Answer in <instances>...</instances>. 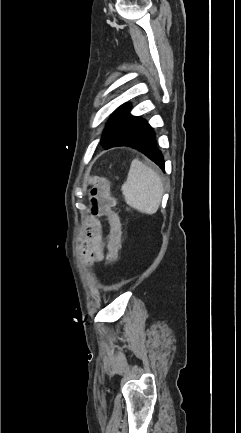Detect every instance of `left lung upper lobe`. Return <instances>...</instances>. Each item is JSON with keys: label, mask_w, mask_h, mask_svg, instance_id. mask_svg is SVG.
<instances>
[{"label": "left lung upper lobe", "mask_w": 241, "mask_h": 433, "mask_svg": "<svg viewBox=\"0 0 241 433\" xmlns=\"http://www.w3.org/2000/svg\"><path fill=\"white\" fill-rule=\"evenodd\" d=\"M129 108V105L120 107L107 123L101 138L106 149L124 146L150 131V125L141 117L131 116Z\"/></svg>", "instance_id": "5c2ea615"}]
</instances>
